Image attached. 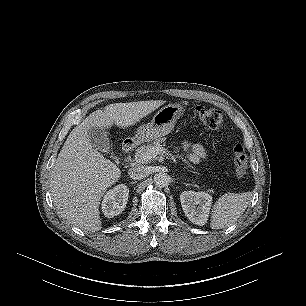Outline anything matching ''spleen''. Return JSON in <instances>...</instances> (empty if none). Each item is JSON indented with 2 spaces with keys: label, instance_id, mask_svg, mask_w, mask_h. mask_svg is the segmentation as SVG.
<instances>
[{
  "label": "spleen",
  "instance_id": "1",
  "mask_svg": "<svg viewBox=\"0 0 306 306\" xmlns=\"http://www.w3.org/2000/svg\"><path fill=\"white\" fill-rule=\"evenodd\" d=\"M252 199V192L228 193L214 204L210 226L212 229L229 227L244 213Z\"/></svg>",
  "mask_w": 306,
  "mask_h": 306
}]
</instances>
